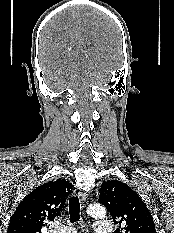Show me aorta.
<instances>
[{"label": "aorta", "instance_id": "obj_1", "mask_svg": "<svg viewBox=\"0 0 174 233\" xmlns=\"http://www.w3.org/2000/svg\"><path fill=\"white\" fill-rule=\"evenodd\" d=\"M87 210L89 215L94 218H103L106 215V209L100 204H91Z\"/></svg>", "mask_w": 174, "mask_h": 233}]
</instances>
